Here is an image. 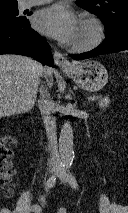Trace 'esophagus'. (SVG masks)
<instances>
[{
	"instance_id": "esophagus-1",
	"label": "esophagus",
	"mask_w": 128,
	"mask_h": 213,
	"mask_svg": "<svg viewBox=\"0 0 128 213\" xmlns=\"http://www.w3.org/2000/svg\"><path fill=\"white\" fill-rule=\"evenodd\" d=\"M53 57L55 64L62 70H70L73 68V65L69 62V60L59 51H53Z\"/></svg>"
}]
</instances>
